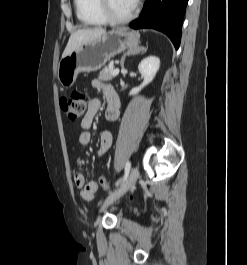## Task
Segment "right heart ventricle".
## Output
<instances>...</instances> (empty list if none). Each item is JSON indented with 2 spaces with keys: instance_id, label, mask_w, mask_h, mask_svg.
Here are the masks:
<instances>
[{
  "instance_id": "1",
  "label": "right heart ventricle",
  "mask_w": 247,
  "mask_h": 265,
  "mask_svg": "<svg viewBox=\"0 0 247 265\" xmlns=\"http://www.w3.org/2000/svg\"><path fill=\"white\" fill-rule=\"evenodd\" d=\"M98 4V0H74L79 20L89 26L105 25L107 20L100 12Z\"/></svg>"
}]
</instances>
